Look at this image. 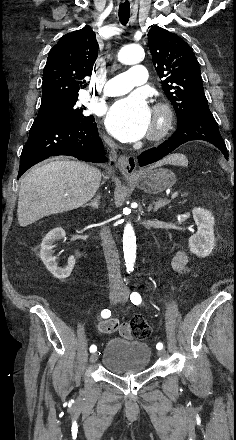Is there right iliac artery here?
I'll return each instance as SVG.
<instances>
[{
    "label": "right iliac artery",
    "mask_w": 236,
    "mask_h": 440,
    "mask_svg": "<svg viewBox=\"0 0 236 440\" xmlns=\"http://www.w3.org/2000/svg\"><path fill=\"white\" fill-rule=\"evenodd\" d=\"M102 318H109L111 316V311L108 309H104L101 312ZM97 350V347L95 345H91L90 352L93 353Z\"/></svg>",
    "instance_id": "1"
}]
</instances>
